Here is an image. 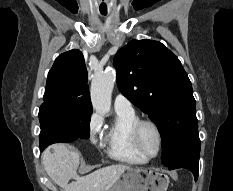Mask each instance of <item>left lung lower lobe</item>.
Returning a JSON list of instances; mask_svg holds the SVG:
<instances>
[{"label":"left lung lower lobe","mask_w":233,"mask_h":191,"mask_svg":"<svg viewBox=\"0 0 233 191\" xmlns=\"http://www.w3.org/2000/svg\"><path fill=\"white\" fill-rule=\"evenodd\" d=\"M199 152H189L184 155H181L177 159H175L170 165L167 167L171 169L177 168H186L194 174L195 181L198 178L199 173Z\"/></svg>","instance_id":"0a47b994"}]
</instances>
